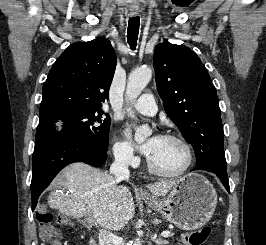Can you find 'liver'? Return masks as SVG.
Instances as JSON below:
<instances>
[{
    "instance_id": "liver-1",
    "label": "liver",
    "mask_w": 266,
    "mask_h": 245,
    "mask_svg": "<svg viewBox=\"0 0 266 245\" xmlns=\"http://www.w3.org/2000/svg\"><path fill=\"white\" fill-rule=\"evenodd\" d=\"M62 193L52 191L48 197L50 209H57L62 215L74 219L84 217L86 213L93 215L99 227L106 231L124 229L135 215V205L127 187H118V181L93 169L85 163H73L65 167L56 177ZM177 185V181H160L147 185L152 195L162 197Z\"/></svg>"
}]
</instances>
